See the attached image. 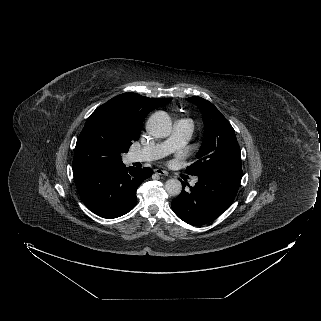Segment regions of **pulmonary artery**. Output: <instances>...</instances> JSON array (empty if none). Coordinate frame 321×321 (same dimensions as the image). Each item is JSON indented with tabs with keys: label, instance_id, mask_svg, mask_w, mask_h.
<instances>
[{
	"label": "pulmonary artery",
	"instance_id": "obj_1",
	"mask_svg": "<svg viewBox=\"0 0 321 321\" xmlns=\"http://www.w3.org/2000/svg\"><path fill=\"white\" fill-rule=\"evenodd\" d=\"M193 123L189 119H179L175 121L173 132L168 139L163 142L148 145L130 154L132 161H152L161 159L168 154L183 147L191 138L193 134ZM197 182L194 179L191 184Z\"/></svg>",
	"mask_w": 321,
	"mask_h": 321
}]
</instances>
